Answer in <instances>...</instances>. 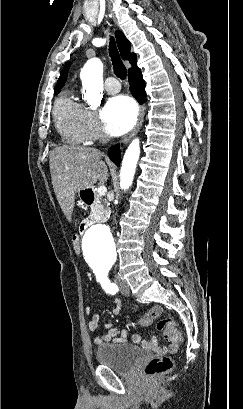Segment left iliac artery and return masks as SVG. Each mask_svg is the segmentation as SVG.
<instances>
[{"label":"left iliac artery","mask_w":243,"mask_h":409,"mask_svg":"<svg viewBox=\"0 0 243 409\" xmlns=\"http://www.w3.org/2000/svg\"><path fill=\"white\" fill-rule=\"evenodd\" d=\"M94 273L96 275L97 281L100 282L107 293L115 294L118 291L117 285L111 283L108 278V270H95Z\"/></svg>","instance_id":"left-iliac-artery-1"}]
</instances>
